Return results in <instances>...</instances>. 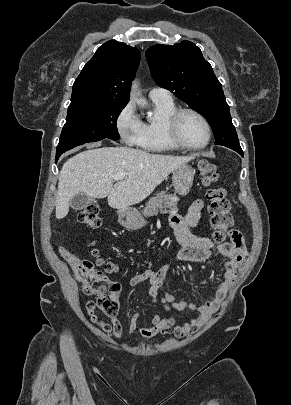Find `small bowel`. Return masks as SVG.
<instances>
[{
	"label": "small bowel",
	"instance_id": "c3829d8e",
	"mask_svg": "<svg viewBox=\"0 0 291 405\" xmlns=\"http://www.w3.org/2000/svg\"><path fill=\"white\" fill-rule=\"evenodd\" d=\"M204 208L205 202L202 199H197L190 206L186 216L183 217L172 213L170 215V223L175 230V236L178 242L182 246L177 257L179 262H202L207 260L214 252L226 257L224 272L216 290L202 305L175 302L173 295L167 291L160 295V290L164 286L165 278L170 268L169 265H165L157 271L147 269L134 275L129 281L131 287H135L143 281H149V295L152 304H156L160 299L168 313L172 311L190 310L195 311L197 315L187 319L180 325H176L175 319L172 316L155 314L151 319L150 326L139 327L138 324L141 315L138 312H133L129 316L128 324V330L131 335H135L138 331L141 336L150 339L156 335L165 334H173L177 338H182L195 333L210 319L211 315L218 310L229 288L236 280L237 270L247 255L244 238L238 230L231 229L228 232L231 239L230 242L215 244L210 237L197 236L190 233L189 228L195 227L198 224ZM86 309L91 319L97 323L104 332L113 333L117 338L122 336V324L116 317L111 318V323L100 319L94 313L95 305L93 302H88Z\"/></svg>",
	"mask_w": 291,
	"mask_h": 405
}]
</instances>
